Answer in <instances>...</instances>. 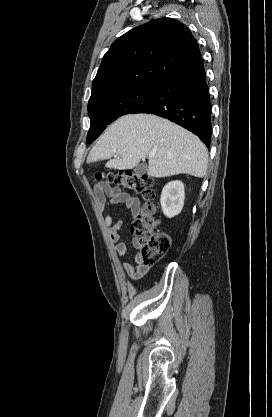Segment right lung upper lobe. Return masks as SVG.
<instances>
[{"mask_svg":"<svg viewBox=\"0 0 272 417\" xmlns=\"http://www.w3.org/2000/svg\"><path fill=\"white\" fill-rule=\"evenodd\" d=\"M200 56L184 24L170 18L150 21L114 41L93 80L89 102L130 87L160 85Z\"/></svg>","mask_w":272,"mask_h":417,"instance_id":"right-lung-upper-lobe-1","label":"right lung upper lobe"}]
</instances>
